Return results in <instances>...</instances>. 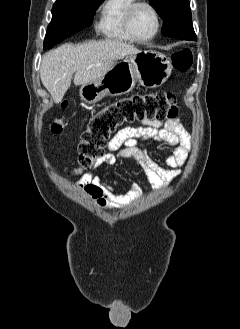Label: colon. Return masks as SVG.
Returning a JSON list of instances; mask_svg holds the SVG:
<instances>
[{
    "label": "colon",
    "instance_id": "obj_1",
    "mask_svg": "<svg viewBox=\"0 0 240 329\" xmlns=\"http://www.w3.org/2000/svg\"><path fill=\"white\" fill-rule=\"evenodd\" d=\"M171 62L176 71L188 72L193 65L192 52L189 49L176 51ZM177 113V98L170 91L135 94L108 105L91 118L81 135L77 148L79 168L75 173L93 166L103 155L110 136L121 126L145 120L172 119ZM63 128V120L57 119L51 125V132L57 135Z\"/></svg>",
    "mask_w": 240,
    "mask_h": 329
}]
</instances>
